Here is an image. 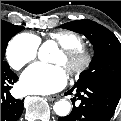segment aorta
Wrapping results in <instances>:
<instances>
[{
	"instance_id": "obj_1",
	"label": "aorta",
	"mask_w": 121,
	"mask_h": 121,
	"mask_svg": "<svg viewBox=\"0 0 121 121\" xmlns=\"http://www.w3.org/2000/svg\"><path fill=\"white\" fill-rule=\"evenodd\" d=\"M56 45L53 42L44 43L39 49V59L47 61L49 53L55 49ZM71 110L70 102L65 99H60L54 104V111L59 116H66Z\"/></svg>"
}]
</instances>
